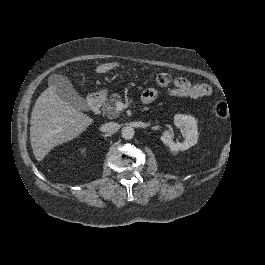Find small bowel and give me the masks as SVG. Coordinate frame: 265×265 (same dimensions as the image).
Returning <instances> with one entry per match:
<instances>
[{
	"label": "small bowel",
	"mask_w": 265,
	"mask_h": 265,
	"mask_svg": "<svg viewBox=\"0 0 265 265\" xmlns=\"http://www.w3.org/2000/svg\"><path fill=\"white\" fill-rule=\"evenodd\" d=\"M168 94L172 97H188L199 99L212 94V87L206 83L192 84L184 77H178L174 81V87L171 88ZM159 97V93L153 89H146L141 96L143 103H150Z\"/></svg>",
	"instance_id": "obj_1"
}]
</instances>
